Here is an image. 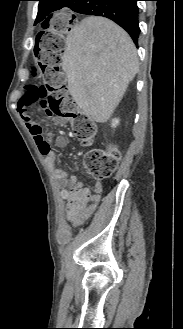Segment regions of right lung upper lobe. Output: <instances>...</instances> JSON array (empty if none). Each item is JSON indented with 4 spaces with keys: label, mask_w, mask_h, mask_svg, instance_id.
Returning <instances> with one entry per match:
<instances>
[{
    "label": "right lung upper lobe",
    "mask_w": 183,
    "mask_h": 329,
    "mask_svg": "<svg viewBox=\"0 0 183 329\" xmlns=\"http://www.w3.org/2000/svg\"><path fill=\"white\" fill-rule=\"evenodd\" d=\"M39 10L36 22L48 19L52 12L59 10L63 7L71 8V4L67 3L70 0H39Z\"/></svg>",
    "instance_id": "1"
}]
</instances>
